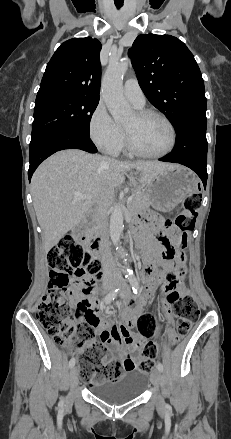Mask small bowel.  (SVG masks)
<instances>
[{
    "label": "small bowel",
    "instance_id": "small-bowel-1",
    "mask_svg": "<svg viewBox=\"0 0 231 439\" xmlns=\"http://www.w3.org/2000/svg\"><path fill=\"white\" fill-rule=\"evenodd\" d=\"M170 235H174L176 230L167 229ZM173 254L169 240L158 241L151 235L147 238V246L144 250V257L148 263V273H145L147 282V289L144 297L141 298L133 309H124L121 311V323H110L105 315L109 311H100L98 309V301L93 295V290L89 293L83 290H77L74 295V303H84L86 306L84 311L79 312V318L83 319L87 325L98 327L101 330V339L105 342L109 349L111 356L118 357L125 364L131 361L134 363V368L137 366V354L141 351L145 340L132 332V328L136 320L142 315L147 304V297L150 296L155 288L162 283V276L158 271L157 263L160 256H164V269L166 272L180 273L183 268V256L172 261ZM163 291L177 290L183 291V285L178 281L166 282L162 286ZM167 302H162L163 311H167ZM85 347L78 349V353L84 352ZM107 360L104 361L106 363Z\"/></svg>",
    "mask_w": 231,
    "mask_h": 439
}]
</instances>
